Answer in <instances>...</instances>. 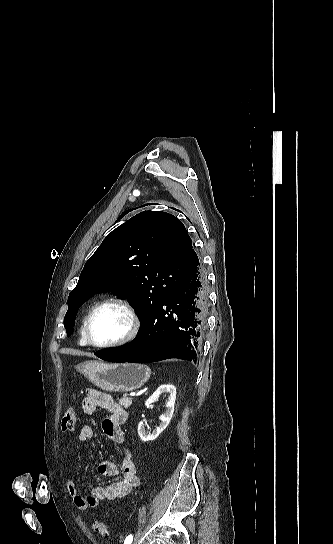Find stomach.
Instances as JSON below:
<instances>
[{"label":"stomach","instance_id":"obj_1","mask_svg":"<svg viewBox=\"0 0 333 544\" xmlns=\"http://www.w3.org/2000/svg\"><path fill=\"white\" fill-rule=\"evenodd\" d=\"M95 386L107 392H130L150 378L148 366L138 363H104L87 361L76 366Z\"/></svg>","mask_w":333,"mask_h":544}]
</instances>
